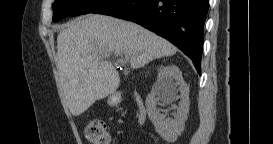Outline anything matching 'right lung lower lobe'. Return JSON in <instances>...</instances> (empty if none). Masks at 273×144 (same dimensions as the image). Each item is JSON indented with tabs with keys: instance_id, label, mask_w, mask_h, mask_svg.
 <instances>
[{
	"instance_id": "obj_1",
	"label": "right lung lower lobe",
	"mask_w": 273,
	"mask_h": 144,
	"mask_svg": "<svg viewBox=\"0 0 273 144\" xmlns=\"http://www.w3.org/2000/svg\"><path fill=\"white\" fill-rule=\"evenodd\" d=\"M209 0H109L91 13L133 21L183 51L200 74Z\"/></svg>"
}]
</instances>
